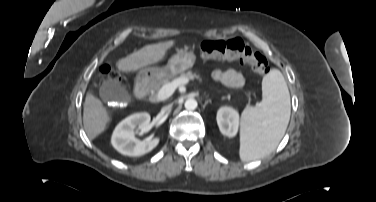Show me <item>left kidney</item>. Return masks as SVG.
I'll return each mask as SVG.
<instances>
[{"instance_id": "5707ae66", "label": "left kidney", "mask_w": 376, "mask_h": 202, "mask_svg": "<svg viewBox=\"0 0 376 202\" xmlns=\"http://www.w3.org/2000/svg\"><path fill=\"white\" fill-rule=\"evenodd\" d=\"M217 124L223 135L236 136L239 126V114L231 107H221L217 112Z\"/></svg>"}]
</instances>
